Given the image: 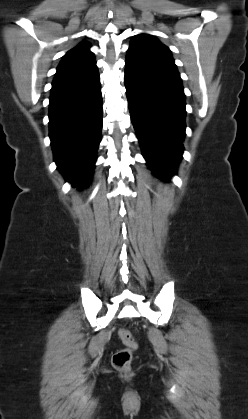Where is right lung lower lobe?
<instances>
[{"label":"right lung lower lobe","instance_id":"98d812e1","mask_svg":"<svg viewBox=\"0 0 248 419\" xmlns=\"http://www.w3.org/2000/svg\"><path fill=\"white\" fill-rule=\"evenodd\" d=\"M49 104V137L57 168L72 185L89 183L101 141L102 96L97 66L55 76Z\"/></svg>","mask_w":248,"mask_h":419}]
</instances>
